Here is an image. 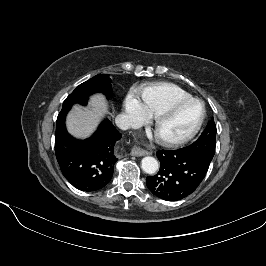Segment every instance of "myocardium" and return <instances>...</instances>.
<instances>
[{"mask_svg":"<svg viewBox=\"0 0 266 266\" xmlns=\"http://www.w3.org/2000/svg\"><path fill=\"white\" fill-rule=\"evenodd\" d=\"M190 104H198L201 106V116H200L199 120L197 121L196 125L193 127V129L190 132H188L187 134H185L181 137H178V138H168V137L162 136L160 134L161 125L167 119H169L170 117L175 115L178 111H180L182 108H184ZM205 117H206V109H205L203 102L200 101L199 99L190 98V99L179 101V102L173 104L172 106H170L169 108L165 109L164 111H162L161 113H159L156 116V118H155L156 135H157L158 139L163 144H165L167 146L176 147V146L183 145V144L189 142L191 139H193L197 135V133L200 131V129L204 123Z\"/></svg>","mask_w":266,"mask_h":266,"instance_id":"myocardium-1","label":"myocardium"}]
</instances>
